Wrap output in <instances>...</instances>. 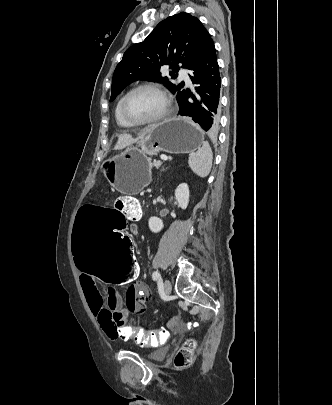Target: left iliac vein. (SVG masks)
Instances as JSON below:
<instances>
[{
	"mask_svg": "<svg viewBox=\"0 0 332 405\" xmlns=\"http://www.w3.org/2000/svg\"><path fill=\"white\" fill-rule=\"evenodd\" d=\"M163 290L165 292V294L169 295L171 293L172 290V285L169 279H165L164 283H163Z\"/></svg>",
	"mask_w": 332,
	"mask_h": 405,
	"instance_id": "4c4485c4",
	"label": "left iliac vein"
}]
</instances>
